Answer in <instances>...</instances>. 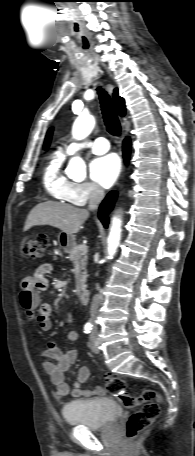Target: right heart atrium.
I'll use <instances>...</instances> for the list:
<instances>
[{"label":"right heart atrium","instance_id":"1","mask_svg":"<svg viewBox=\"0 0 195 456\" xmlns=\"http://www.w3.org/2000/svg\"><path fill=\"white\" fill-rule=\"evenodd\" d=\"M101 194L102 191L97 186L89 182H71L68 189L69 201L79 206L85 205L90 200L99 198Z\"/></svg>","mask_w":195,"mask_h":456}]
</instances>
